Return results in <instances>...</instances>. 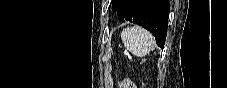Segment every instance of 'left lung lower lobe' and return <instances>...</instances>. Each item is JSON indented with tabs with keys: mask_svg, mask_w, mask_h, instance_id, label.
Masks as SVG:
<instances>
[{
	"mask_svg": "<svg viewBox=\"0 0 227 88\" xmlns=\"http://www.w3.org/2000/svg\"><path fill=\"white\" fill-rule=\"evenodd\" d=\"M170 5L168 0H119V20L132 21L149 30L163 48L167 35Z\"/></svg>",
	"mask_w": 227,
	"mask_h": 88,
	"instance_id": "0a47b994",
	"label": "left lung lower lobe"
}]
</instances>
